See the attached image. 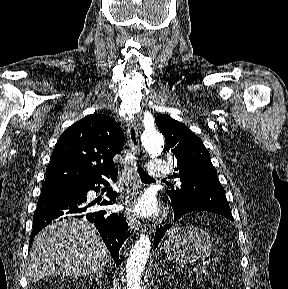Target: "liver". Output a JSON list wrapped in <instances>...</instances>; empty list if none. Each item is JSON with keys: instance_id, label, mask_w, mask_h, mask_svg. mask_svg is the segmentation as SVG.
<instances>
[{"instance_id": "1", "label": "liver", "mask_w": 288, "mask_h": 289, "mask_svg": "<svg viewBox=\"0 0 288 289\" xmlns=\"http://www.w3.org/2000/svg\"><path fill=\"white\" fill-rule=\"evenodd\" d=\"M111 256L96 228L86 219H63L46 226L34 239L26 276H86L98 273Z\"/></svg>"}]
</instances>
